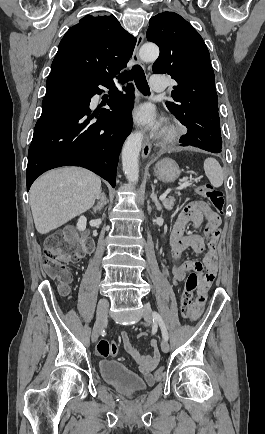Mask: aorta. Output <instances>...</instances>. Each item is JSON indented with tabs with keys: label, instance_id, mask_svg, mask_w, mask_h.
<instances>
[{
	"label": "aorta",
	"instance_id": "1",
	"mask_svg": "<svg viewBox=\"0 0 265 434\" xmlns=\"http://www.w3.org/2000/svg\"><path fill=\"white\" fill-rule=\"evenodd\" d=\"M159 56V48L155 44H144L140 48V58L143 62H155ZM143 134L135 132L128 136L122 150L123 172L128 182H138V158L142 146Z\"/></svg>",
	"mask_w": 265,
	"mask_h": 434
}]
</instances>
